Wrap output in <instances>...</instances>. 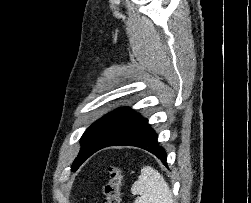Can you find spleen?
Instances as JSON below:
<instances>
[{
  "label": "spleen",
  "mask_w": 251,
  "mask_h": 203,
  "mask_svg": "<svg viewBox=\"0 0 251 203\" xmlns=\"http://www.w3.org/2000/svg\"><path fill=\"white\" fill-rule=\"evenodd\" d=\"M131 192L133 195H140L135 203H173L168 184L151 166L141 169V174L132 185Z\"/></svg>",
  "instance_id": "obj_1"
}]
</instances>
